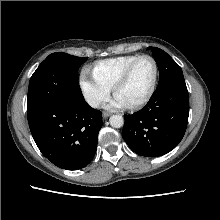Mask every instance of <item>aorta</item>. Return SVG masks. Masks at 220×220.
Here are the masks:
<instances>
[{
    "instance_id": "aorta-1",
    "label": "aorta",
    "mask_w": 220,
    "mask_h": 220,
    "mask_svg": "<svg viewBox=\"0 0 220 220\" xmlns=\"http://www.w3.org/2000/svg\"><path fill=\"white\" fill-rule=\"evenodd\" d=\"M109 122L113 128H121L124 124V118L121 115H112Z\"/></svg>"
}]
</instances>
